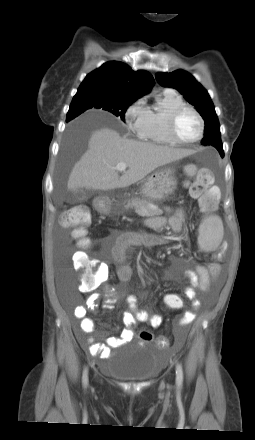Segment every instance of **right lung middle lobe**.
Masks as SVG:
<instances>
[{
	"label": "right lung middle lobe",
	"instance_id": "1",
	"mask_svg": "<svg viewBox=\"0 0 255 440\" xmlns=\"http://www.w3.org/2000/svg\"><path fill=\"white\" fill-rule=\"evenodd\" d=\"M134 101L106 97L97 93L76 94L71 102L67 118H75L87 109L108 111L125 121V112Z\"/></svg>",
	"mask_w": 255,
	"mask_h": 440
}]
</instances>
